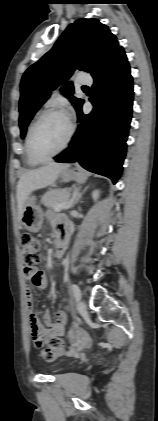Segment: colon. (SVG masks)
Listing matches in <instances>:
<instances>
[{
	"label": "colon",
	"instance_id": "5ec220e1",
	"mask_svg": "<svg viewBox=\"0 0 158 421\" xmlns=\"http://www.w3.org/2000/svg\"><path fill=\"white\" fill-rule=\"evenodd\" d=\"M20 246L22 259L26 268H34L40 259L39 242L30 234L23 233L20 236ZM65 347V342L61 337L53 336L46 342V346L42 351V357L48 362L54 361Z\"/></svg>",
	"mask_w": 158,
	"mask_h": 421
}]
</instances>
